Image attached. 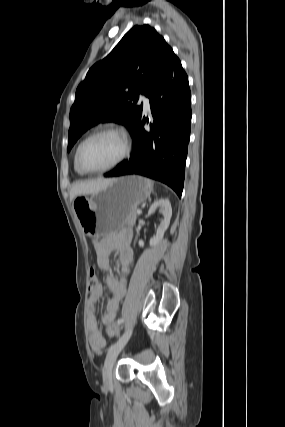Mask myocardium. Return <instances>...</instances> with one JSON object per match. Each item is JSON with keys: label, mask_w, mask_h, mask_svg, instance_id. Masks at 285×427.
<instances>
[{"label": "myocardium", "mask_w": 285, "mask_h": 427, "mask_svg": "<svg viewBox=\"0 0 285 427\" xmlns=\"http://www.w3.org/2000/svg\"><path fill=\"white\" fill-rule=\"evenodd\" d=\"M105 133H114V134H117V135H119V136L122 137V139L124 141V149H123L122 154L119 156V158L116 161H114L112 164H110V165H108L106 167H103V168H100V169H94V170L86 168L83 165L82 160H81V154H82V150H83L84 146L90 140H92L93 138H95V137H97V136H99L101 134H105ZM131 147H132L131 138H130L129 134L125 130H123V129L119 128V127H115V126H106V127H103V128H100V129L94 131L93 133H91L90 135H88L79 144V146L77 148V152H76V163H77V166L79 167V169L83 173H85V174L104 173V172H107L109 170H112V169L116 168L122 162H124L127 159V157L129 156L130 152H131Z\"/></svg>", "instance_id": "myocardium-1"}]
</instances>
